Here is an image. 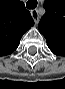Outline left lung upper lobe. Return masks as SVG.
Returning <instances> with one entry per match:
<instances>
[{
	"label": "left lung upper lobe",
	"mask_w": 65,
	"mask_h": 89,
	"mask_svg": "<svg viewBox=\"0 0 65 89\" xmlns=\"http://www.w3.org/2000/svg\"><path fill=\"white\" fill-rule=\"evenodd\" d=\"M44 8L39 31L47 44L65 46V0H45Z\"/></svg>",
	"instance_id": "obj_1"
}]
</instances>
